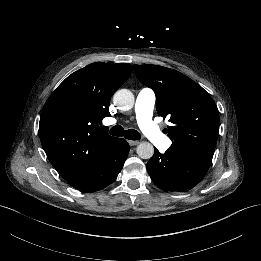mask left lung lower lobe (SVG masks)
I'll return each instance as SVG.
<instances>
[{"label": "left lung lower lobe", "instance_id": "left-lung-lower-lobe-1", "mask_svg": "<svg viewBox=\"0 0 261 261\" xmlns=\"http://www.w3.org/2000/svg\"><path fill=\"white\" fill-rule=\"evenodd\" d=\"M212 157L195 149L169 148L164 154L155 149L146 168L162 190L187 192L204 178Z\"/></svg>", "mask_w": 261, "mask_h": 261}]
</instances>
